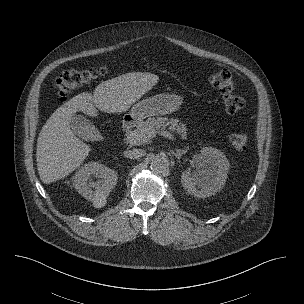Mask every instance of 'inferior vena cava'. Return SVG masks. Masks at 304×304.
Instances as JSON below:
<instances>
[{"label": "inferior vena cava", "instance_id": "602c4592", "mask_svg": "<svg viewBox=\"0 0 304 304\" xmlns=\"http://www.w3.org/2000/svg\"><path fill=\"white\" fill-rule=\"evenodd\" d=\"M144 154L142 149H132L124 152V156L130 159H139Z\"/></svg>", "mask_w": 304, "mask_h": 304}]
</instances>
